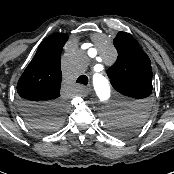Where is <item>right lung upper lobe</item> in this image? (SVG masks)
Instances as JSON below:
<instances>
[{"instance_id":"1","label":"right lung upper lobe","mask_w":174,"mask_h":174,"mask_svg":"<svg viewBox=\"0 0 174 174\" xmlns=\"http://www.w3.org/2000/svg\"><path fill=\"white\" fill-rule=\"evenodd\" d=\"M68 36L54 33L38 47L17 84L20 100L34 103H60L62 73L60 55Z\"/></svg>"}]
</instances>
